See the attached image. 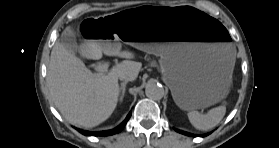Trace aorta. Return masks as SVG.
<instances>
[{
  "label": "aorta",
  "mask_w": 279,
  "mask_h": 148,
  "mask_svg": "<svg viewBox=\"0 0 279 148\" xmlns=\"http://www.w3.org/2000/svg\"><path fill=\"white\" fill-rule=\"evenodd\" d=\"M145 94L150 99L159 100L163 98L165 90L162 85L155 82H149L146 84Z\"/></svg>",
  "instance_id": "aorta-1"
}]
</instances>
